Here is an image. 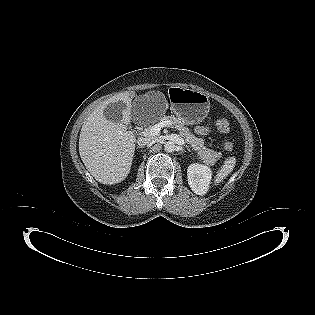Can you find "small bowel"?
Listing matches in <instances>:
<instances>
[{"label": "small bowel", "mask_w": 315, "mask_h": 315, "mask_svg": "<svg viewBox=\"0 0 315 315\" xmlns=\"http://www.w3.org/2000/svg\"><path fill=\"white\" fill-rule=\"evenodd\" d=\"M196 131L199 133V134H206L208 131H209V128L207 127H198L196 129Z\"/></svg>", "instance_id": "1"}]
</instances>
